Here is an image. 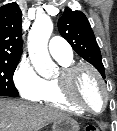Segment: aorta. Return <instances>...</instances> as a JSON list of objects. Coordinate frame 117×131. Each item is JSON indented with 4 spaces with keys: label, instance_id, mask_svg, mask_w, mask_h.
<instances>
[{
    "label": "aorta",
    "instance_id": "obj_1",
    "mask_svg": "<svg viewBox=\"0 0 117 131\" xmlns=\"http://www.w3.org/2000/svg\"><path fill=\"white\" fill-rule=\"evenodd\" d=\"M53 31V23L47 16L36 18L28 35V52L31 63L42 77L52 76L56 65L48 52V40Z\"/></svg>",
    "mask_w": 117,
    "mask_h": 131
}]
</instances>
